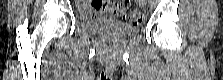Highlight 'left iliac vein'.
<instances>
[{
    "label": "left iliac vein",
    "instance_id": "4c4485c4",
    "mask_svg": "<svg viewBox=\"0 0 223 80\" xmlns=\"http://www.w3.org/2000/svg\"><path fill=\"white\" fill-rule=\"evenodd\" d=\"M145 5V1H142V6H144Z\"/></svg>",
    "mask_w": 223,
    "mask_h": 80
}]
</instances>
